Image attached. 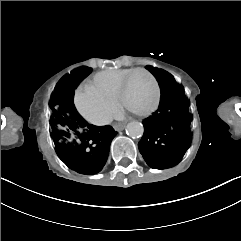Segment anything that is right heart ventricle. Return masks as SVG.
<instances>
[{"instance_id":"1","label":"right heart ventricle","mask_w":241,"mask_h":241,"mask_svg":"<svg viewBox=\"0 0 241 241\" xmlns=\"http://www.w3.org/2000/svg\"><path fill=\"white\" fill-rule=\"evenodd\" d=\"M130 70L134 69H106L90 76L84 80L82 85H96L102 90V92L110 94L111 98H108L109 100L118 101L116 96V86L123 75Z\"/></svg>"}]
</instances>
